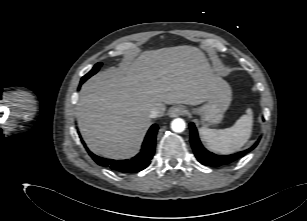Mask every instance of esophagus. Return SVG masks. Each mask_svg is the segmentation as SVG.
<instances>
[{"label":"esophagus","mask_w":307,"mask_h":221,"mask_svg":"<svg viewBox=\"0 0 307 221\" xmlns=\"http://www.w3.org/2000/svg\"><path fill=\"white\" fill-rule=\"evenodd\" d=\"M187 113V110L185 109V107L182 106H178V107H173L168 111V115L171 118H175L178 117L180 115H184Z\"/></svg>","instance_id":"obj_1"}]
</instances>
